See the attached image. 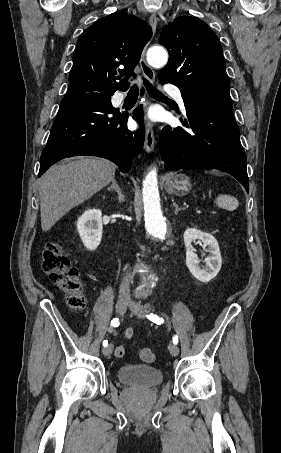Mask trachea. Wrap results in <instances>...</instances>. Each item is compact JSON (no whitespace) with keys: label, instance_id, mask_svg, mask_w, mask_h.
<instances>
[{"label":"trachea","instance_id":"3493384b","mask_svg":"<svg viewBox=\"0 0 281 453\" xmlns=\"http://www.w3.org/2000/svg\"><path fill=\"white\" fill-rule=\"evenodd\" d=\"M143 82H144V85L145 87L147 88V91L149 93L150 96L152 97H165V95H163V93L159 92V90H157L155 87H152V85L148 82V80H145L143 79ZM138 87L136 85H133V87H131L129 93H128V96L130 97H133V98H137L138 97Z\"/></svg>","mask_w":281,"mask_h":453}]
</instances>
